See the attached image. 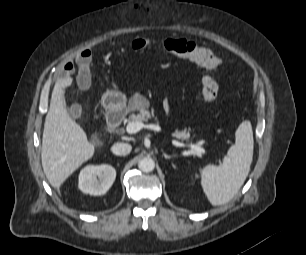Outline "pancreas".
I'll use <instances>...</instances> for the list:
<instances>
[{
  "instance_id": "obj_1",
  "label": "pancreas",
  "mask_w": 306,
  "mask_h": 255,
  "mask_svg": "<svg viewBox=\"0 0 306 255\" xmlns=\"http://www.w3.org/2000/svg\"><path fill=\"white\" fill-rule=\"evenodd\" d=\"M130 107L133 110H139L140 113L138 114H131L128 118V121H132V122H147L148 120H150L151 118H154L155 115L153 112H149L147 110L149 104L148 101H146L145 99H143L142 101H138L137 97H133L130 101ZM155 119H157V117H155ZM173 136L180 139V140H187L190 138V133L186 130L183 131H179L176 130L173 133Z\"/></svg>"
}]
</instances>
